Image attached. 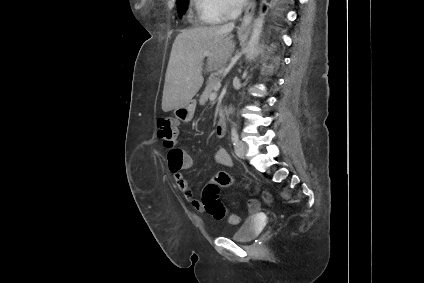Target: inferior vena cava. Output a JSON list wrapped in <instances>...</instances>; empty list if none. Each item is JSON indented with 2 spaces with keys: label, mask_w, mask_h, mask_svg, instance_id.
I'll use <instances>...</instances> for the list:
<instances>
[{
  "label": "inferior vena cava",
  "mask_w": 424,
  "mask_h": 283,
  "mask_svg": "<svg viewBox=\"0 0 424 283\" xmlns=\"http://www.w3.org/2000/svg\"><path fill=\"white\" fill-rule=\"evenodd\" d=\"M243 6L241 3H236L230 11V17L232 20H235L242 13ZM233 25V23H230Z\"/></svg>",
  "instance_id": "1"
}]
</instances>
